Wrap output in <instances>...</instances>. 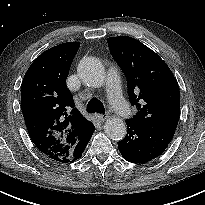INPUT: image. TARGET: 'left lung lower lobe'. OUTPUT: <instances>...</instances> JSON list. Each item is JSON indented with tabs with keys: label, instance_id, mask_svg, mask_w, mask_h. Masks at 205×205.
<instances>
[{
	"label": "left lung lower lobe",
	"instance_id": "obj_1",
	"mask_svg": "<svg viewBox=\"0 0 205 205\" xmlns=\"http://www.w3.org/2000/svg\"><path fill=\"white\" fill-rule=\"evenodd\" d=\"M127 135L118 142L123 158L132 163H145L161 155L171 142L175 130L154 128L126 120Z\"/></svg>",
	"mask_w": 205,
	"mask_h": 205
}]
</instances>
